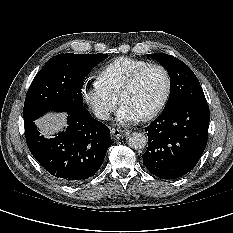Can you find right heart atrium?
Here are the masks:
<instances>
[{
	"mask_svg": "<svg viewBox=\"0 0 233 233\" xmlns=\"http://www.w3.org/2000/svg\"><path fill=\"white\" fill-rule=\"evenodd\" d=\"M81 95L96 117L102 120L109 118L118 103L117 97L98 78L85 82Z\"/></svg>",
	"mask_w": 233,
	"mask_h": 233,
	"instance_id": "right-heart-atrium-1",
	"label": "right heart atrium"
}]
</instances>
